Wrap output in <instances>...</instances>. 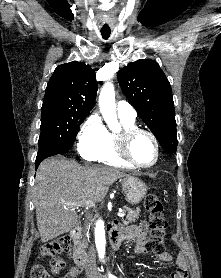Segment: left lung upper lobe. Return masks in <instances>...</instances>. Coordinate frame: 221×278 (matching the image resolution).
I'll return each instance as SVG.
<instances>
[{
  "label": "left lung upper lobe",
  "instance_id": "1",
  "mask_svg": "<svg viewBox=\"0 0 221 278\" xmlns=\"http://www.w3.org/2000/svg\"><path fill=\"white\" fill-rule=\"evenodd\" d=\"M117 78L124 95L170 154L176 153L175 108L170 83L154 60L141 59L120 69Z\"/></svg>",
  "mask_w": 221,
  "mask_h": 278
}]
</instances>
